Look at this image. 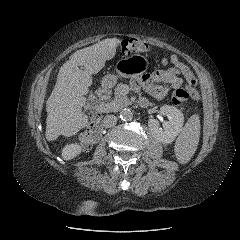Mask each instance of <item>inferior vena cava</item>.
I'll use <instances>...</instances> for the list:
<instances>
[{"instance_id":"1","label":"inferior vena cava","mask_w":240,"mask_h":240,"mask_svg":"<svg viewBox=\"0 0 240 240\" xmlns=\"http://www.w3.org/2000/svg\"><path fill=\"white\" fill-rule=\"evenodd\" d=\"M117 123V117L114 115H106L103 119L102 125L105 128H110L115 126Z\"/></svg>"}]
</instances>
